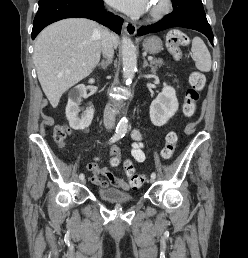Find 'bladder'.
<instances>
[{
  "label": "bladder",
  "instance_id": "31cf9c89",
  "mask_svg": "<svg viewBox=\"0 0 248 258\" xmlns=\"http://www.w3.org/2000/svg\"><path fill=\"white\" fill-rule=\"evenodd\" d=\"M98 196L112 204H126L133 200L131 193L123 192L112 187H101L97 190Z\"/></svg>",
  "mask_w": 248,
  "mask_h": 258
}]
</instances>
